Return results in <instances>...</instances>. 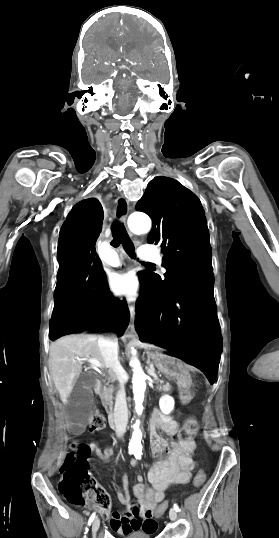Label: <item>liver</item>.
Listing matches in <instances>:
<instances>
[{"instance_id": "6515ba94", "label": "liver", "mask_w": 279, "mask_h": 538, "mask_svg": "<svg viewBox=\"0 0 279 538\" xmlns=\"http://www.w3.org/2000/svg\"><path fill=\"white\" fill-rule=\"evenodd\" d=\"M97 340L98 336L72 334L51 342L49 372L63 404H68V398L82 372V358H94L104 366Z\"/></svg>"}]
</instances>
